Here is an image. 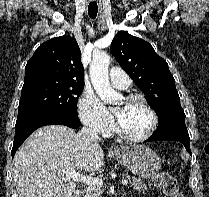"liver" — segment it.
<instances>
[{"instance_id": "1", "label": "liver", "mask_w": 209, "mask_h": 197, "mask_svg": "<svg viewBox=\"0 0 209 197\" xmlns=\"http://www.w3.org/2000/svg\"><path fill=\"white\" fill-rule=\"evenodd\" d=\"M104 153L99 142L63 125L33 132L14 157L13 181L19 197H71L76 181L66 170L100 171Z\"/></svg>"}]
</instances>
